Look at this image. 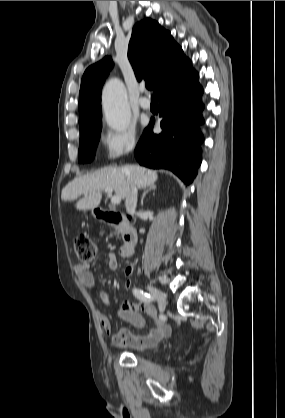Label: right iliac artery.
Listing matches in <instances>:
<instances>
[{
	"label": "right iliac artery",
	"instance_id": "82829eb1",
	"mask_svg": "<svg viewBox=\"0 0 285 418\" xmlns=\"http://www.w3.org/2000/svg\"><path fill=\"white\" fill-rule=\"evenodd\" d=\"M133 294L135 297H137L139 300L143 301V302H152L153 298L150 294L144 292L141 289L138 288H134L133 289Z\"/></svg>",
	"mask_w": 285,
	"mask_h": 418
}]
</instances>
